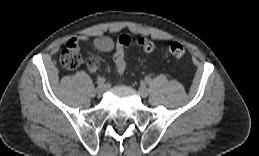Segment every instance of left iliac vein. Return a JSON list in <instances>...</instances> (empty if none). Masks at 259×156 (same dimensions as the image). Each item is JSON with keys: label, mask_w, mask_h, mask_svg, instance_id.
<instances>
[{"label": "left iliac vein", "mask_w": 259, "mask_h": 156, "mask_svg": "<svg viewBox=\"0 0 259 156\" xmlns=\"http://www.w3.org/2000/svg\"><path fill=\"white\" fill-rule=\"evenodd\" d=\"M138 92L142 98H146L148 96V89L145 85H141L138 89Z\"/></svg>", "instance_id": "4c4485c4"}]
</instances>
